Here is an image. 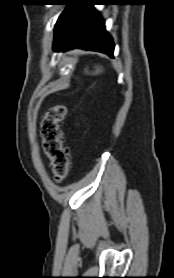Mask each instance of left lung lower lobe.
I'll return each mask as SVG.
<instances>
[{
	"mask_svg": "<svg viewBox=\"0 0 174 278\" xmlns=\"http://www.w3.org/2000/svg\"><path fill=\"white\" fill-rule=\"evenodd\" d=\"M103 0H81L72 18L66 37L53 47L54 51L66 52L76 47L99 51L113 57L114 43L107 33L104 21L93 5Z\"/></svg>",
	"mask_w": 174,
	"mask_h": 278,
	"instance_id": "left-lung-lower-lobe-1",
	"label": "left lung lower lobe"
}]
</instances>
